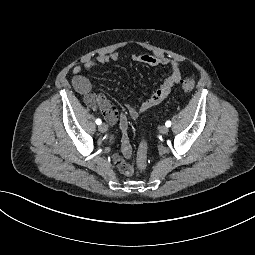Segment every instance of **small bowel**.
Here are the masks:
<instances>
[{
    "instance_id": "small-bowel-1",
    "label": "small bowel",
    "mask_w": 255,
    "mask_h": 255,
    "mask_svg": "<svg viewBox=\"0 0 255 255\" xmlns=\"http://www.w3.org/2000/svg\"><path fill=\"white\" fill-rule=\"evenodd\" d=\"M118 59L119 54L117 52H112L110 54L97 55L85 60L82 65H76L72 68V84L76 91L84 96V101L89 107L99 108L111 124L118 123L122 132V154H114L113 160L123 174L131 175L133 173V168L128 163V160L132 157V147L127 134L128 117L124 112L118 111L103 94L94 93L89 79L81 74L82 69L100 67L110 62H116ZM132 59L135 62L149 66L161 65L169 69L168 76L162 84L151 93L147 100L143 101L138 107H129L130 115L136 119L141 113L157 106L167 98L172 88L180 82L183 71L181 64L177 60L164 55L141 53L132 55Z\"/></svg>"
}]
</instances>
